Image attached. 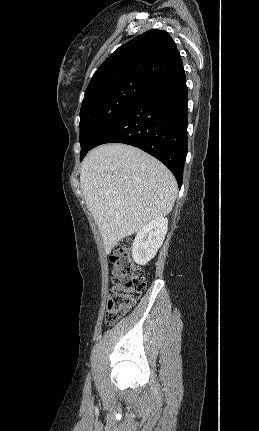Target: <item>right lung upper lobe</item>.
Returning a JSON list of instances; mask_svg holds the SVG:
<instances>
[{
  "label": "right lung upper lobe",
  "mask_w": 259,
  "mask_h": 431,
  "mask_svg": "<svg viewBox=\"0 0 259 431\" xmlns=\"http://www.w3.org/2000/svg\"><path fill=\"white\" fill-rule=\"evenodd\" d=\"M184 73L174 40L164 30L147 31L117 48L97 69L89 95L129 83L151 88Z\"/></svg>",
  "instance_id": "cb5924a9"
}]
</instances>
